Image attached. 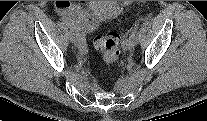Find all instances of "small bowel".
<instances>
[{
  "mask_svg": "<svg viewBox=\"0 0 207 121\" xmlns=\"http://www.w3.org/2000/svg\"><path fill=\"white\" fill-rule=\"evenodd\" d=\"M55 7L63 17L73 22L83 35V32L94 29L95 24L87 17L80 4L70 1H56Z\"/></svg>",
  "mask_w": 207,
  "mask_h": 121,
  "instance_id": "small-bowel-1",
  "label": "small bowel"
}]
</instances>
